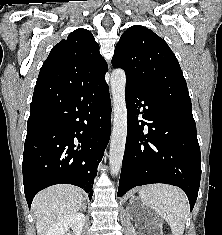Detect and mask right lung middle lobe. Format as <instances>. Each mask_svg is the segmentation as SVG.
Masks as SVG:
<instances>
[{
	"label": "right lung middle lobe",
	"instance_id": "obj_1",
	"mask_svg": "<svg viewBox=\"0 0 222 235\" xmlns=\"http://www.w3.org/2000/svg\"><path fill=\"white\" fill-rule=\"evenodd\" d=\"M31 125H32V124H30V123H27V127H28V126H31Z\"/></svg>",
	"mask_w": 222,
	"mask_h": 235
}]
</instances>
